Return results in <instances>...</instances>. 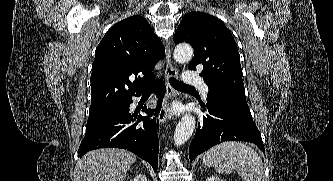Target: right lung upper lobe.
I'll use <instances>...</instances> for the list:
<instances>
[{
    "instance_id": "1",
    "label": "right lung upper lobe",
    "mask_w": 333,
    "mask_h": 181,
    "mask_svg": "<svg viewBox=\"0 0 333 181\" xmlns=\"http://www.w3.org/2000/svg\"><path fill=\"white\" fill-rule=\"evenodd\" d=\"M164 56L162 42L145 18L132 16L113 25L95 51L89 110L139 95L155 78L151 69Z\"/></svg>"
}]
</instances>
